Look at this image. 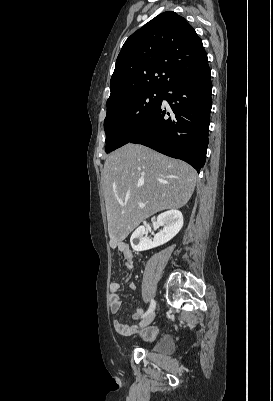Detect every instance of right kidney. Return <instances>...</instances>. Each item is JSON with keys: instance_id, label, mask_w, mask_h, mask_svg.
Segmentation results:
<instances>
[{"instance_id": "1", "label": "right kidney", "mask_w": 273, "mask_h": 401, "mask_svg": "<svg viewBox=\"0 0 273 401\" xmlns=\"http://www.w3.org/2000/svg\"><path fill=\"white\" fill-rule=\"evenodd\" d=\"M156 225H158V227H163V229L160 233L155 235L153 241L148 239V237H144V235H147L145 227H138V229L134 231L130 239L131 247L134 251H148V249L160 247V245L171 241L183 227V215L180 211L171 209V211L161 213V215L157 217Z\"/></svg>"}]
</instances>
